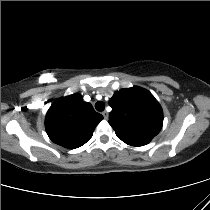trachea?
I'll list each match as a JSON object with an SVG mask.
<instances>
[{
    "instance_id": "3493384b",
    "label": "trachea",
    "mask_w": 210,
    "mask_h": 210,
    "mask_svg": "<svg viewBox=\"0 0 210 210\" xmlns=\"http://www.w3.org/2000/svg\"><path fill=\"white\" fill-rule=\"evenodd\" d=\"M95 108L97 111L101 112L105 109V103L103 101H98L95 104Z\"/></svg>"
}]
</instances>
